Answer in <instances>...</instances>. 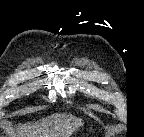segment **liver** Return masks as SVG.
<instances>
[{"label":"liver","mask_w":144,"mask_h":137,"mask_svg":"<svg viewBox=\"0 0 144 137\" xmlns=\"http://www.w3.org/2000/svg\"><path fill=\"white\" fill-rule=\"evenodd\" d=\"M83 121L67 113H54L33 123L20 124L17 137H70Z\"/></svg>","instance_id":"6515ba94"}]
</instances>
